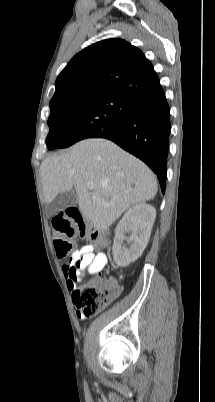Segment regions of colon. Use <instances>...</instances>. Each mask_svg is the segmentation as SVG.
<instances>
[{"label": "colon", "instance_id": "obj_1", "mask_svg": "<svg viewBox=\"0 0 215 402\" xmlns=\"http://www.w3.org/2000/svg\"><path fill=\"white\" fill-rule=\"evenodd\" d=\"M51 227L56 253L59 257L67 259L66 266L70 267L72 273L77 270L80 263L71 256L74 248L73 237L79 236L101 247L108 245L107 237L103 233L91 229L74 208L54 215L51 219ZM116 295L117 289L112 283L96 279L77 288L73 294V301L84 316H94Z\"/></svg>", "mask_w": 215, "mask_h": 402}]
</instances>
